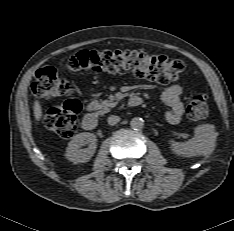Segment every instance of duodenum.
Masks as SVG:
<instances>
[{
	"label": "duodenum",
	"mask_w": 234,
	"mask_h": 231,
	"mask_svg": "<svg viewBox=\"0 0 234 231\" xmlns=\"http://www.w3.org/2000/svg\"><path fill=\"white\" fill-rule=\"evenodd\" d=\"M143 100L139 96H132L129 99V105L132 107H137L142 104ZM98 120L97 116L94 113H86L82 120V126L85 130H93L97 127Z\"/></svg>",
	"instance_id": "obj_1"
}]
</instances>
